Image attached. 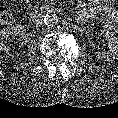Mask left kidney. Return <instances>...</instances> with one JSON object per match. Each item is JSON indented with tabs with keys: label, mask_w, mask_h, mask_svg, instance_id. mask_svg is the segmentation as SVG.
Segmentation results:
<instances>
[{
	"label": "left kidney",
	"mask_w": 118,
	"mask_h": 118,
	"mask_svg": "<svg viewBox=\"0 0 118 118\" xmlns=\"http://www.w3.org/2000/svg\"><path fill=\"white\" fill-rule=\"evenodd\" d=\"M100 36H102L108 42V51L96 52L98 59L105 61H113L118 59V38L107 30H101Z\"/></svg>",
	"instance_id": "obj_1"
}]
</instances>
